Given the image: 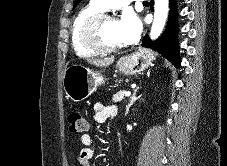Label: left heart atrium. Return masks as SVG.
I'll return each mask as SVG.
<instances>
[{"instance_id": "39dd6f15", "label": "left heart atrium", "mask_w": 227, "mask_h": 166, "mask_svg": "<svg viewBox=\"0 0 227 166\" xmlns=\"http://www.w3.org/2000/svg\"><path fill=\"white\" fill-rule=\"evenodd\" d=\"M119 35L123 43L133 42L142 29L140 18L133 12H126L118 21Z\"/></svg>"}]
</instances>
